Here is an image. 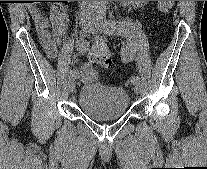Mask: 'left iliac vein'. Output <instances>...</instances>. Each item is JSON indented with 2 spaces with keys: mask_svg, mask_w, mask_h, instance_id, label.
<instances>
[{
  "mask_svg": "<svg viewBox=\"0 0 207 169\" xmlns=\"http://www.w3.org/2000/svg\"><path fill=\"white\" fill-rule=\"evenodd\" d=\"M90 31L93 33L99 32V33L106 34L109 36L114 34L112 31L107 30V27L102 24L100 16H97L93 20L92 27H91ZM133 90H134L135 94H139L141 92L140 82L133 84Z\"/></svg>",
  "mask_w": 207,
  "mask_h": 169,
  "instance_id": "4c4485c4",
  "label": "left iliac vein"
}]
</instances>
